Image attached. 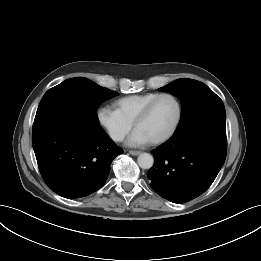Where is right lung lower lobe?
I'll return each mask as SVG.
<instances>
[{
	"instance_id": "right-lung-lower-lobe-1",
	"label": "right lung lower lobe",
	"mask_w": 261,
	"mask_h": 261,
	"mask_svg": "<svg viewBox=\"0 0 261 261\" xmlns=\"http://www.w3.org/2000/svg\"><path fill=\"white\" fill-rule=\"evenodd\" d=\"M32 144L45 183L70 199L102 187L111 162L123 153L102 128L66 121L33 130Z\"/></svg>"
}]
</instances>
